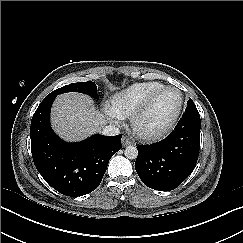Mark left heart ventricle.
<instances>
[{
  "label": "left heart ventricle",
  "mask_w": 243,
  "mask_h": 243,
  "mask_svg": "<svg viewBox=\"0 0 243 243\" xmlns=\"http://www.w3.org/2000/svg\"><path fill=\"white\" fill-rule=\"evenodd\" d=\"M180 98L177 90L163 92L142 115L138 123L139 128L152 132L164 127L176 114Z\"/></svg>",
  "instance_id": "obj_1"
}]
</instances>
